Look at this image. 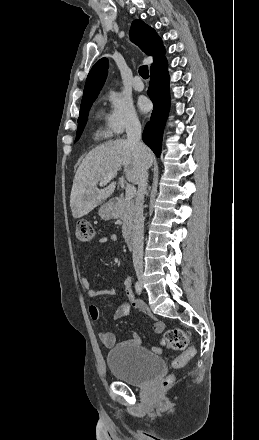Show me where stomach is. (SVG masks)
<instances>
[{
	"instance_id": "1",
	"label": "stomach",
	"mask_w": 259,
	"mask_h": 440,
	"mask_svg": "<svg viewBox=\"0 0 259 440\" xmlns=\"http://www.w3.org/2000/svg\"><path fill=\"white\" fill-rule=\"evenodd\" d=\"M99 216L102 220L108 221L115 216V206L112 202L104 204L99 209Z\"/></svg>"
}]
</instances>
